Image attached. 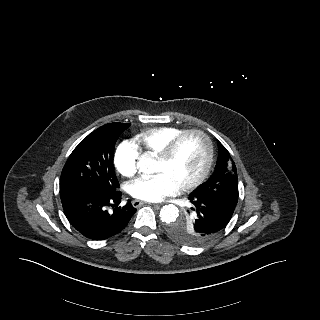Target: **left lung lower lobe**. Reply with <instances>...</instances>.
Here are the masks:
<instances>
[{
	"mask_svg": "<svg viewBox=\"0 0 320 320\" xmlns=\"http://www.w3.org/2000/svg\"><path fill=\"white\" fill-rule=\"evenodd\" d=\"M189 200L199 212V232L205 242L220 234L235 210L233 206L202 194L191 193Z\"/></svg>",
	"mask_w": 320,
	"mask_h": 320,
	"instance_id": "left-lung-lower-lobe-1",
	"label": "left lung lower lobe"
}]
</instances>
